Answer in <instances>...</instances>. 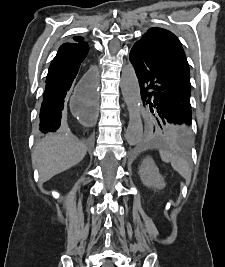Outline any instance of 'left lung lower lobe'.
<instances>
[{
    "label": "left lung lower lobe",
    "instance_id": "left-lung-lower-lobe-1",
    "mask_svg": "<svg viewBox=\"0 0 225 267\" xmlns=\"http://www.w3.org/2000/svg\"><path fill=\"white\" fill-rule=\"evenodd\" d=\"M129 59L137 75L142 100L154 116L190 128V71L185 55L142 38Z\"/></svg>",
    "mask_w": 225,
    "mask_h": 267
}]
</instances>
